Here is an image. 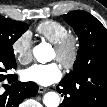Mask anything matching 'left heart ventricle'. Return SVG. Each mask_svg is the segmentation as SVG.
<instances>
[{
    "mask_svg": "<svg viewBox=\"0 0 107 107\" xmlns=\"http://www.w3.org/2000/svg\"><path fill=\"white\" fill-rule=\"evenodd\" d=\"M54 58H57V52L54 50V54H53Z\"/></svg>",
    "mask_w": 107,
    "mask_h": 107,
    "instance_id": "1",
    "label": "left heart ventricle"
}]
</instances>
